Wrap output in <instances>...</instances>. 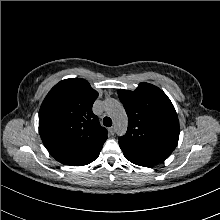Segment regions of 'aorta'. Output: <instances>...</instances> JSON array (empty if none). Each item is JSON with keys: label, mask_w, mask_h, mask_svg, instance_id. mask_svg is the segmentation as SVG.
I'll use <instances>...</instances> for the list:
<instances>
[{"label": "aorta", "mask_w": 220, "mask_h": 220, "mask_svg": "<svg viewBox=\"0 0 220 220\" xmlns=\"http://www.w3.org/2000/svg\"><path fill=\"white\" fill-rule=\"evenodd\" d=\"M105 109L110 114L114 122V128L119 136L126 133L127 130V115L120 102L114 99L105 101Z\"/></svg>", "instance_id": "aorta-1"}]
</instances>
